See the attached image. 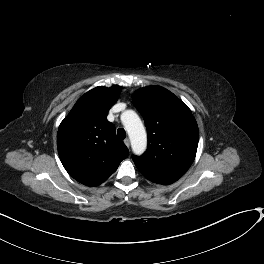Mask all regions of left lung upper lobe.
<instances>
[{"mask_svg":"<svg viewBox=\"0 0 264 264\" xmlns=\"http://www.w3.org/2000/svg\"><path fill=\"white\" fill-rule=\"evenodd\" d=\"M132 98L148 135L146 152L132 159L148 180L169 185L182 177L195 159L197 122L191 110L163 87L141 88Z\"/></svg>","mask_w":264,"mask_h":264,"instance_id":"obj_1","label":"left lung upper lobe"}]
</instances>
